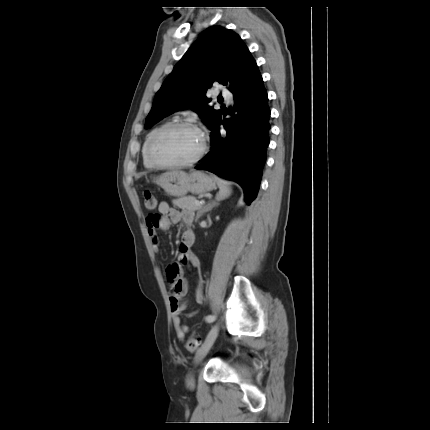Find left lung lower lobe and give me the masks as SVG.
Wrapping results in <instances>:
<instances>
[{"label":"left lung lower lobe","instance_id":"left-lung-lower-lobe-1","mask_svg":"<svg viewBox=\"0 0 430 430\" xmlns=\"http://www.w3.org/2000/svg\"><path fill=\"white\" fill-rule=\"evenodd\" d=\"M231 118L221 120V112L212 120L211 151L196 169L211 171L233 180L244 190L250 204L257 195L269 144L270 109L262 77L257 71L235 86ZM220 122L225 131H220Z\"/></svg>","mask_w":430,"mask_h":430}]
</instances>
